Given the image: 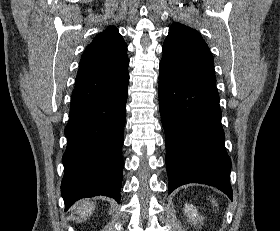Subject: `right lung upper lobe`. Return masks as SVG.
Instances as JSON below:
<instances>
[{"label": "right lung upper lobe", "mask_w": 280, "mask_h": 231, "mask_svg": "<svg viewBox=\"0 0 280 231\" xmlns=\"http://www.w3.org/2000/svg\"><path fill=\"white\" fill-rule=\"evenodd\" d=\"M126 52L127 45L117 28L111 26L98 34L81 57L70 104L87 102L127 86Z\"/></svg>", "instance_id": "obj_1"}]
</instances>
